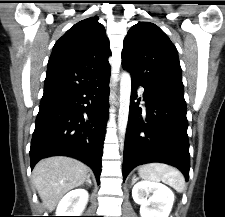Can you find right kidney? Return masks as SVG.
Masks as SVG:
<instances>
[{
    "label": "right kidney",
    "mask_w": 225,
    "mask_h": 217,
    "mask_svg": "<svg viewBox=\"0 0 225 217\" xmlns=\"http://www.w3.org/2000/svg\"><path fill=\"white\" fill-rule=\"evenodd\" d=\"M88 192L85 189H75L67 193L56 210V216H81L88 202Z\"/></svg>",
    "instance_id": "1"
}]
</instances>
